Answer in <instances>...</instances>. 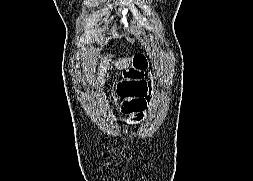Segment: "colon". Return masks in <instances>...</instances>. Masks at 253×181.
Masks as SVG:
<instances>
[{"mask_svg":"<svg viewBox=\"0 0 253 181\" xmlns=\"http://www.w3.org/2000/svg\"><path fill=\"white\" fill-rule=\"evenodd\" d=\"M146 60L143 55H136L134 64L129 66L118 84V96L123 100V111L139 121L141 112L145 109L147 86L145 81Z\"/></svg>","mask_w":253,"mask_h":181,"instance_id":"colon-1","label":"colon"}]
</instances>
